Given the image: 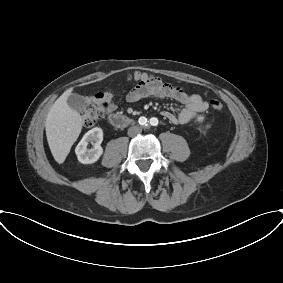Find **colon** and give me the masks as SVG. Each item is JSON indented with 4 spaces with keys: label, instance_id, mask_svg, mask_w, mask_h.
<instances>
[{
    "label": "colon",
    "instance_id": "1",
    "mask_svg": "<svg viewBox=\"0 0 283 283\" xmlns=\"http://www.w3.org/2000/svg\"><path fill=\"white\" fill-rule=\"evenodd\" d=\"M135 79L140 82L151 85L152 87H157L161 83L160 79L156 76L147 74H136ZM209 106L214 111H221L223 109V103L216 98L209 101ZM104 105L102 104H90L88 105L83 113L84 123L87 127L94 126L104 115Z\"/></svg>",
    "mask_w": 283,
    "mask_h": 283
}]
</instances>
